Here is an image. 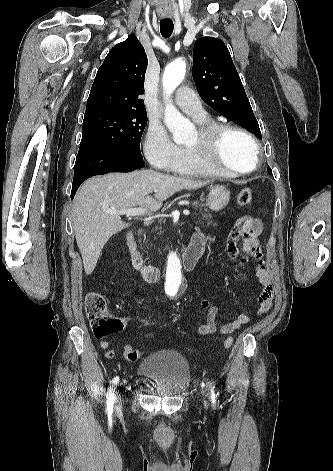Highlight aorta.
<instances>
[{
  "label": "aorta",
  "mask_w": 333,
  "mask_h": 471,
  "mask_svg": "<svg viewBox=\"0 0 333 471\" xmlns=\"http://www.w3.org/2000/svg\"><path fill=\"white\" fill-rule=\"evenodd\" d=\"M186 63L182 59H177L168 64L162 77V85L166 99L171 97L175 89L180 85L185 77ZM164 123L173 135L174 142L181 144L186 142L193 131V125L170 103L166 105ZM183 272L181 262L175 252H170L167 259L166 290L170 291L174 287L173 294L182 291Z\"/></svg>",
  "instance_id": "obj_1"
}]
</instances>
